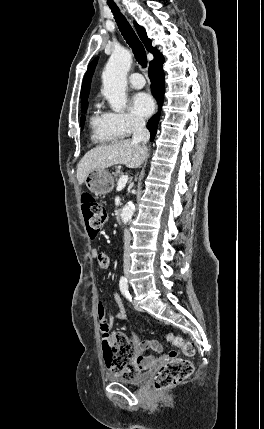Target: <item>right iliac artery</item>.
<instances>
[{"label":"right iliac artery","instance_id":"82829eb1","mask_svg":"<svg viewBox=\"0 0 264 429\" xmlns=\"http://www.w3.org/2000/svg\"><path fill=\"white\" fill-rule=\"evenodd\" d=\"M119 287H120V291H121V293H122L124 296L128 297V296H129V292H128V283H127V279H126L124 276H122V277L120 278Z\"/></svg>","mask_w":264,"mask_h":429}]
</instances>
